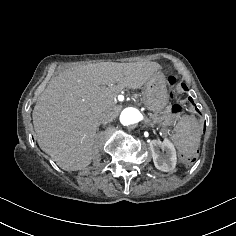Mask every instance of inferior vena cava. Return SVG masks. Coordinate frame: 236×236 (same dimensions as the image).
I'll return each instance as SVG.
<instances>
[{
    "instance_id": "obj_1",
    "label": "inferior vena cava",
    "mask_w": 236,
    "mask_h": 236,
    "mask_svg": "<svg viewBox=\"0 0 236 236\" xmlns=\"http://www.w3.org/2000/svg\"><path fill=\"white\" fill-rule=\"evenodd\" d=\"M94 118L95 119H100L101 118V113L100 112H95L94 113Z\"/></svg>"
}]
</instances>
